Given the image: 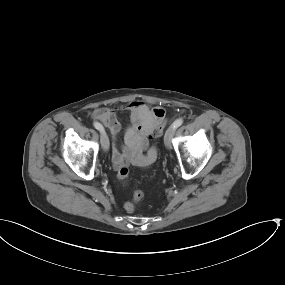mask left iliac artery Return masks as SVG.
Here are the masks:
<instances>
[{"label":"left iliac artery","mask_w":285,"mask_h":285,"mask_svg":"<svg viewBox=\"0 0 285 285\" xmlns=\"http://www.w3.org/2000/svg\"><path fill=\"white\" fill-rule=\"evenodd\" d=\"M184 120L182 118H178L177 120H175L172 124V126L174 128H178L179 126H181L183 124Z\"/></svg>","instance_id":"obj_1"}]
</instances>
